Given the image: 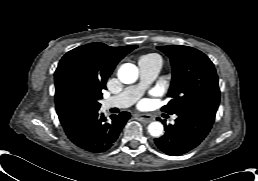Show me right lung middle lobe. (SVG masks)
Masks as SVG:
<instances>
[{"mask_svg": "<svg viewBox=\"0 0 258 181\" xmlns=\"http://www.w3.org/2000/svg\"><path fill=\"white\" fill-rule=\"evenodd\" d=\"M102 94L93 90L74 74H66L56 87V111L69 109H96Z\"/></svg>", "mask_w": 258, "mask_h": 181, "instance_id": "dd1d6c3e", "label": "right lung middle lobe"}]
</instances>
